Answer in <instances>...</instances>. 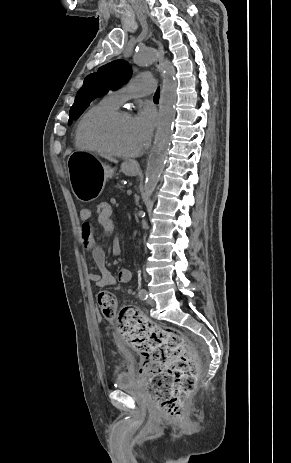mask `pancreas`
Listing matches in <instances>:
<instances>
[{
  "instance_id": "1",
  "label": "pancreas",
  "mask_w": 291,
  "mask_h": 463,
  "mask_svg": "<svg viewBox=\"0 0 291 463\" xmlns=\"http://www.w3.org/2000/svg\"><path fill=\"white\" fill-rule=\"evenodd\" d=\"M114 190L117 192V196H119V194H123L125 192V186L123 185V181L118 182L114 186Z\"/></svg>"
}]
</instances>
